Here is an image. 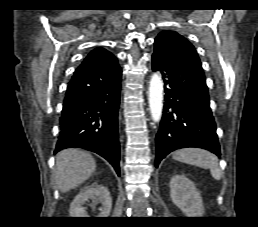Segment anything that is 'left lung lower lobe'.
Returning <instances> with one entry per match:
<instances>
[{
    "label": "left lung lower lobe",
    "mask_w": 258,
    "mask_h": 227,
    "mask_svg": "<svg viewBox=\"0 0 258 227\" xmlns=\"http://www.w3.org/2000/svg\"><path fill=\"white\" fill-rule=\"evenodd\" d=\"M152 69L161 72L166 93L156 135V167L180 148L198 147L220 156L203 71L158 47L152 55Z\"/></svg>",
    "instance_id": "0a47b994"
}]
</instances>
